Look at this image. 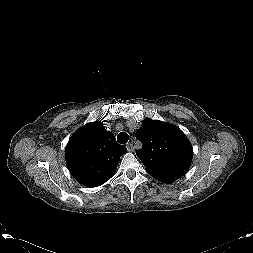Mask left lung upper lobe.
<instances>
[{
	"mask_svg": "<svg viewBox=\"0 0 253 253\" xmlns=\"http://www.w3.org/2000/svg\"><path fill=\"white\" fill-rule=\"evenodd\" d=\"M136 131L142 148L136 155L148 174L160 172L183 176L189 169L193 150L185 134L176 126L159 120L145 118Z\"/></svg>",
	"mask_w": 253,
	"mask_h": 253,
	"instance_id": "1",
	"label": "left lung upper lobe"
}]
</instances>
